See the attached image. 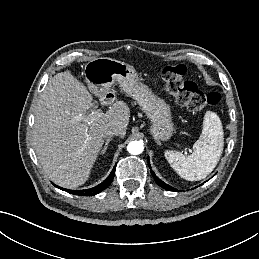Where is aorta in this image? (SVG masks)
I'll return each instance as SVG.
<instances>
[{"label": "aorta", "instance_id": "obj_1", "mask_svg": "<svg viewBox=\"0 0 259 259\" xmlns=\"http://www.w3.org/2000/svg\"><path fill=\"white\" fill-rule=\"evenodd\" d=\"M143 149L144 147L141 141H131L127 146V151L133 155L141 154Z\"/></svg>", "mask_w": 259, "mask_h": 259}]
</instances>
